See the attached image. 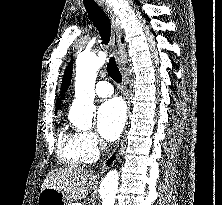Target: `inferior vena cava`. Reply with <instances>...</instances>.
Listing matches in <instances>:
<instances>
[{"label":"inferior vena cava","mask_w":222,"mask_h":205,"mask_svg":"<svg viewBox=\"0 0 222 205\" xmlns=\"http://www.w3.org/2000/svg\"><path fill=\"white\" fill-rule=\"evenodd\" d=\"M104 147H105V149H106V144H104Z\"/></svg>","instance_id":"inferior-vena-cava-1"}]
</instances>
